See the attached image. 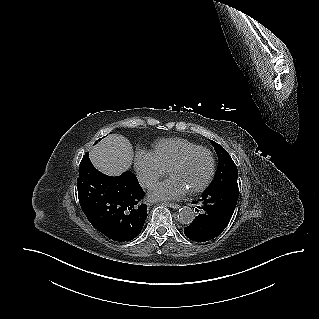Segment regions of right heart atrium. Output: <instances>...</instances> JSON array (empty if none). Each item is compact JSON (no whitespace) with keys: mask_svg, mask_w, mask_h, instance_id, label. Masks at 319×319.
Masks as SVG:
<instances>
[{"mask_svg":"<svg viewBox=\"0 0 319 319\" xmlns=\"http://www.w3.org/2000/svg\"><path fill=\"white\" fill-rule=\"evenodd\" d=\"M134 168L139 182L146 188L154 185L166 174V170L155 161L150 152H137L134 158Z\"/></svg>","mask_w":319,"mask_h":319,"instance_id":"d8ad5b80","label":"right heart atrium"}]
</instances>
